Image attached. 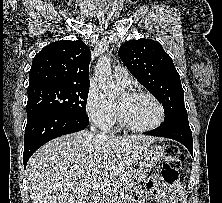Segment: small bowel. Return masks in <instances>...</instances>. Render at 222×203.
<instances>
[{
  "label": "small bowel",
  "mask_w": 222,
  "mask_h": 203,
  "mask_svg": "<svg viewBox=\"0 0 222 203\" xmlns=\"http://www.w3.org/2000/svg\"><path fill=\"white\" fill-rule=\"evenodd\" d=\"M152 194L161 203H183L184 192L179 184H167L159 176H153L137 191L138 198ZM140 203V202H139Z\"/></svg>",
  "instance_id": "obj_1"
}]
</instances>
